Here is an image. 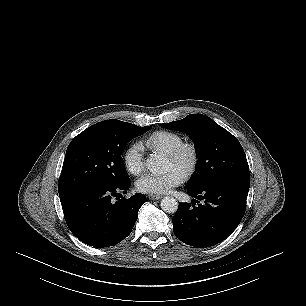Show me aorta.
Wrapping results in <instances>:
<instances>
[{
	"mask_svg": "<svg viewBox=\"0 0 306 306\" xmlns=\"http://www.w3.org/2000/svg\"><path fill=\"white\" fill-rule=\"evenodd\" d=\"M165 159L158 154H151L147 159V169L152 173H158L164 168ZM161 209L166 213H175L178 209V202L174 197L166 196L161 200Z\"/></svg>",
	"mask_w": 306,
	"mask_h": 306,
	"instance_id": "762f6f07",
	"label": "aorta"
}]
</instances>
